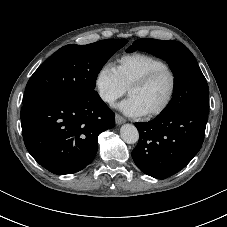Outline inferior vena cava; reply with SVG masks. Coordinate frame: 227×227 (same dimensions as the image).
<instances>
[{
  "label": "inferior vena cava",
  "instance_id": "602c4592",
  "mask_svg": "<svg viewBox=\"0 0 227 227\" xmlns=\"http://www.w3.org/2000/svg\"><path fill=\"white\" fill-rule=\"evenodd\" d=\"M105 100L108 101V102H112L113 101V99L111 97H106Z\"/></svg>",
  "mask_w": 227,
  "mask_h": 227
}]
</instances>
